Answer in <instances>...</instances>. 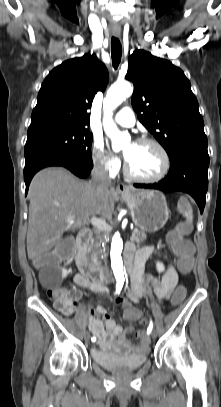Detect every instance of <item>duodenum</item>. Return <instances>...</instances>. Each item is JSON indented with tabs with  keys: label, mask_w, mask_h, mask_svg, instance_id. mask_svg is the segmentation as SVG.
<instances>
[{
	"label": "duodenum",
	"mask_w": 221,
	"mask_h": 407,
	"mask_svg": "<svg viewBox=\"0 0 221 407\" xmlns=\"http://www.w3.org/2000/svg\"><path fill=\"white\" fill-rule=\"evenodd\" d=\"M89 232L87 230L81 231L76 239L77 248L75 259L81 274L89 277L91 280L97 283L106 282L109 280L108 276L105 274L104 270L98 267L87 254V240ZM133 253L131 251H126L125 254V266L128 272L132 271Z\"/></svg>",
	"instance_id": "410a0bca"
}]
</instances>
